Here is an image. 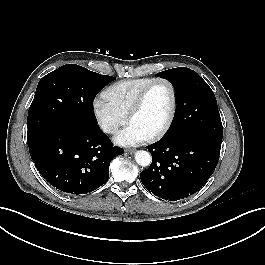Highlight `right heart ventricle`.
Wrapping results in <instances>:
<instances>
[{
    "instance_id": "obj_1",
    "label": "right heart ventricle",
    "mask_w": 265,
    "mask_h": 265,
    "mask_svg": "<svg viewBox=\"0 0 265 265\" xmlns=\"http://www.w3.org/2000/svg\"><path fill=\"white\" fill-rule=\"evenodd\" d=\"M152 79L142 77L118 81L104 91L103 98L120 113L127 116L139 92Z\"/></svg>"
}]
</instances>
